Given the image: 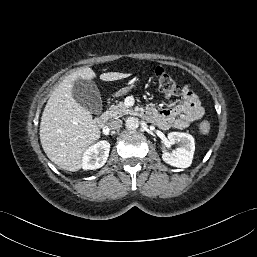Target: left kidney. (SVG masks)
Here are the masks:
<instances>
[{"mask_svg":"<svg viewBox=\"0 0 257 257\" xmlns=\"http://www.w3.org/2000/svg\"><path fill=\"white\" fill-rule=\"evenodd\" d=\"M168 139L171 144L180 142L181 145L173 150L172 153H163V161L178 168L189 167L192 163L195 151V141L193 136L188 133L171 132L168 134Z\"/></svg>","mask_w":257,"mask_h":257,"instance_id":"5707ae66","label":"left kidney"}]
</instances>
